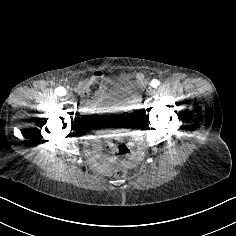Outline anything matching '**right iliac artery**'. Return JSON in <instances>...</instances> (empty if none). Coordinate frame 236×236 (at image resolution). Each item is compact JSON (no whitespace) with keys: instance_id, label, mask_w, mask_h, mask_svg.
<instances>
[{"instance_id":"1","label":"right iliac artery","mask_w":236,"mask_h":236,"mask_svg":"<svg viewBox=\"0 0 236 236\" xmlns=\"http://www.w3.org/2000/svg\"><path fill=\"white\" fill-rule=\"evenodd\" d=\"M55 94H57L58 96H64L66 95V90L64 87H58L55 89Z\"/></svg>"}]
</instances>
